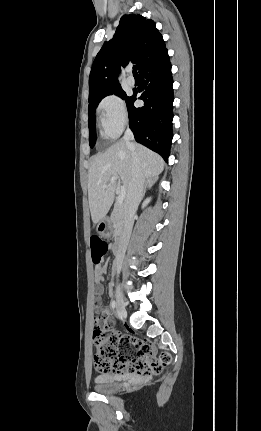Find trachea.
<instances>
[{"mask_svg":"<svg viewBox=\"0 0 261 431\" xmlns=\"http://www.w3.org/2000/svg\"><path fill=\"white\" fill-rule=\"evenodd\" d=\"M133 75L134 76H138L137 67L136 66H133Z\"/></svg>","mask_w":261,"mask_h":431,"instance_id":"trachea-1","label":"trachea"}]
</instances>
